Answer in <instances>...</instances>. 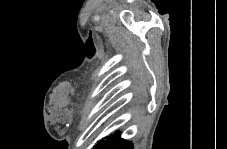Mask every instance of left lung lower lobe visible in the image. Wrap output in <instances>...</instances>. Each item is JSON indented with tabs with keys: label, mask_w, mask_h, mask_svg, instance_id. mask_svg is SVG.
Wrapping results in <instances>:
<instances>
[{
	"label": "left lung lower lobe",
	"mask_w": 227,
	"mask_h": 149,
	"mask_svg": "<svg viewBox=\"0 0 227 149\" xmlns=\"http://www.w3.org/2000/svg\"><path fill=\"white\" fill-rule=\"evenodd\" d=\"M116 134L117 135L102 138L97 142L96 146H94V149H133L131 142L121 139L120 135H118V133Z\"/></svg>",
	"instance_id": "1"
}]
</instances>
